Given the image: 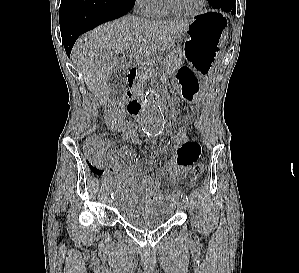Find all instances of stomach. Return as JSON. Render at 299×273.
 <instances>
[{
    "instance_id": "0dacf381",
    "label": "stomach",
    "mask_w": 299,
    "mask_h": 273,
    "mask_svg": "<svg viewBox=\"0 0 299 273\" xmlns=\"http://www.w3.org/2000/svg\"><path fill=\"white\" fill-rule=\"evenodd\" d=\"M228 21L224 14L209 11L193 19L183 36L188 67H177L174 80L185 95L183 101L201 100L207 89L208 77L220 74L221 53Z\"/></svg>"
}]
</instances>
